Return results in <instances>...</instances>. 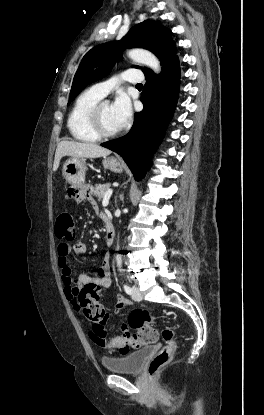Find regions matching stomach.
<instances>
[{"label":"stomach","instance_id":"obj_1","mask_svg":"<svg viewBox=\"0 0 264 415\" xmlns=\"http://www.w3.org/2000/svg\"><path fill=\"white\" fill-rule=\"evenodd\" d=\"M106 169L115 173H122L123 163L115 157H104L102 161ZM86 159L83 157H71L63 164L62 175L67 183L75 188H82L85 182Z\"/></svg>","mask_w":264,"mask_h":415}]
</instances>
